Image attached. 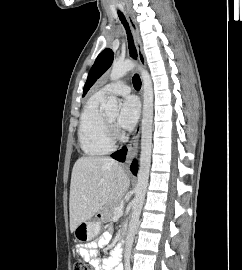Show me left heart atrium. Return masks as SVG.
<instances>
[{"label": "left heart atrium", "instance_id": "39dd6f15", "mask_svg": "<svg viewBox=\"0 0 242 270\" xmlns=\"http://www.w3.org/2000/svg\"><path fill=\"white\" fill-rule=\"evenodd\" d=\"M140 114V104L136 97L129 96L124 99L118 117V125L126 130L132 129Z\"/></svg>", "mask_w": 242, "mask_h": 270}]
</instances>
